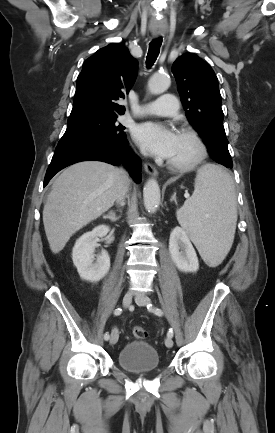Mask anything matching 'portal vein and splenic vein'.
I'll use <instances>...</instances> for the list:
<instances>
[{"label":"portal vein and splenic vein","instance_id":"obj_1","mask_svg":"<svg viewBox=\"0 0 275 433\" xmlns=\"http://www.w3.org/2000/svg\"><path fill=\"white\" fill-rule=\"evenodd\" d=\"M188 196H189V194H188V193H186V194H185V197L187 198Z\"/></svg>","mask_w":275,"mask_h":433}]
</instances>
